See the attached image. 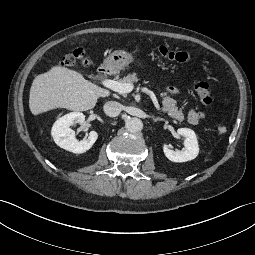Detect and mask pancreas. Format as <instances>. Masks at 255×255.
Instances as JSON below:
<instances>
[{
	"label": "pancreas",
	"instance_id": "cf45deb5",
	"mask_svg": "<svg viewBox=\"0 0 255 255\" xmlns=\"http://www.w3.org/2000/svg\"><path fill=\"white\" fill-rule=\"evenodd\" d=\"M138 81H139V78L137 77V74L132 73V74H128L123 79H120L118 82L123 84H127V83L133 84ZM160 96L162 97L163 111L167 112V114L171 118L182 122L184 120V114L176 106L177 104L176 100L168 96L166 92H162Z\"/></svg>",
	"mask_w": 255,
	"mask_h": 255
}]
</instances>
